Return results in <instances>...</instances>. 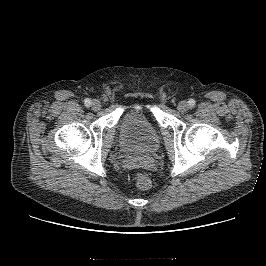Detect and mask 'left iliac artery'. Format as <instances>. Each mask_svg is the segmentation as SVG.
Returning a JSON list of instances; mask_svg holds the SVG:
<instances>
[{
  "label": "left iliac artery",
  "mask_w": 266,
  "mask_h": 266,
  "mask_svg": "<svg viewBox=\"0 0 266 266\" xmlns=\"http://www.w3.org/2000/svg\"><path fill=\"white\" fill-rule=\"evenodd\" d=\"M188 103H189V105L190 106H194L195 105V100L194 99H190L189 101H188Z\"/></svg>",
  "instance_id": "1"
}]
</instances>
